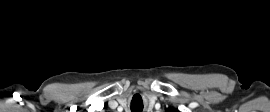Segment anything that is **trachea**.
Masks as SVG:
<instances>
[{
    "instance_id": "obj_1",
    "label": "trachea",
    "mask_w": 270,
    "mask_h": 112,
    "mask_svg": "<svg viewBox=\"0 0 270 112\" xmlns=\"http://www.w3.org/2000/svg\"><path fill=\"white\" fill-rule=\"evenodd\" d=\"M143 110V104L138 103L137 101L131 102V112H142Z\"/></svg>"
}]
</instances>
